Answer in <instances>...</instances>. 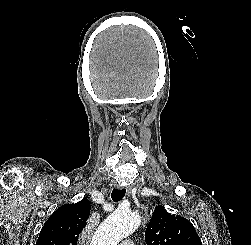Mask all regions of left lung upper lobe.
I'll return each mask as SVG.
<instances>
[{
  "mask_svg": "<svg viewBox=\"0 0 251 245\" xmlns=\"http://www.w3.org/2000/svg\"><path fill=\"white\" fill-rule=\"evenodd\" d=\"M147 245H202L193 225L184 217L169 214L164 207H155L145 232Z\"/></svg>",
  "mask_w": 251,
  "mask_h": 245,
  "instance_id": "left-lung-upper-lobe-1",
  "label": "left lung upper lobe"
}]
</instances>
